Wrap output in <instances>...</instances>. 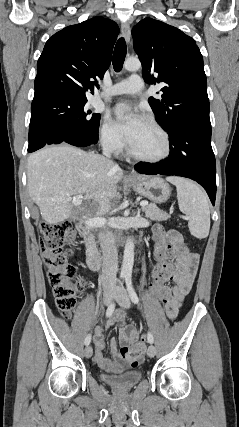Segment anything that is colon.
<instances>
[{
	"instance_id": "5ec220e1",
	"label": "colon",
	"mask_w": 239,
	"mask_h": 427,
	"mask_svg": "<svg viewBox=\"0 0 239 427\" xmlns=\"http://www.w3.org/2000/svg\"><path fill=\"white\" fill-rule=\"evenodd\" d=\"M40 233V248L47 271V278L55 297L56 306L61 315L68 319L75 307L78 293L83 289L85 281L76 273L68 260L73 251L71 245L75 242L76 233L69 222L49 223L38 222ZM153 244L151 266L152 280L148 282V300L169 298L173 259L170 254L171 237L164 230L162 222H156L150 232ZM160 301L159 299L157 300ZM163 300L162 303H165ZM145 344L143 341L131 347H124L122 356L131 366H137L144 358Z\"/></svg>"
}]
</instances>
